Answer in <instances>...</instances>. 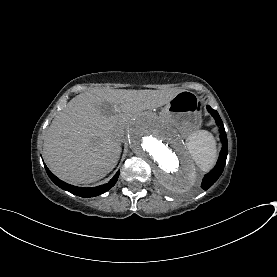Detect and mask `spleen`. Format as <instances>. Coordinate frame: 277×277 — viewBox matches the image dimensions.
<instances>
[{"instance_id":"1","label":"spleen","mask_w":277,"mask_h":277,"mask_svg":"<svg viewBox=\"0 0 277 277\" xmlns=\"http://www.w3.org/2000/svg\"><path fill=\"white\" fill-rule=\"evenodd\" d=\"M186 145L195 160L196 164L202 169L211 168L216 154L215 142L212 136L206 131H196L187 138Z\"/></svg>"}]
</instances>
